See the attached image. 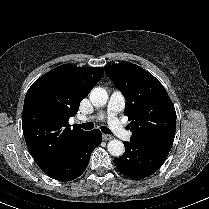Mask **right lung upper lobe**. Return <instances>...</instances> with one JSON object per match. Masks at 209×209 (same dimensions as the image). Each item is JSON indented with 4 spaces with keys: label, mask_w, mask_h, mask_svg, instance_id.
Listing matches in <instances>:
<instances>
[{
    "label": "right lung upper lobe",
    "mask_w": 209,
    "mask_h": 209,
    "mask_svg": "<svg viewBox=\"0 0 209 209\" xmlns=\"http://www.w3.org/2000/svg\"><path fill=\"white\" fill-rule=\"evenodd\" d=\"M103 67L61 65L29 88L22 128L27 148L43 172L53 167L86 131L68 121L80 102L99 82Z\"/></svg>",
    "instance_id": "right-lung-upper-lobe-1"
}]
</instances>
